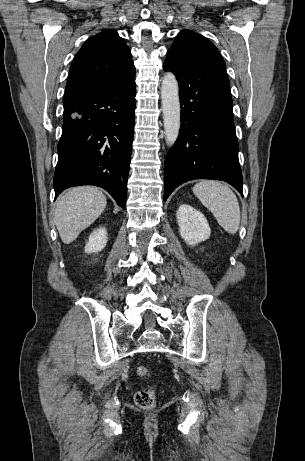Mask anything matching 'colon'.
<instances>
[{
    "mask_svg": "<svg viewBox=\"0 0 305 461\" xmlns=\"http://www.w3.org/2000/svg\"><path fill=\"white\" fill-rule=\"evenodd\" d=\"M136 373L141 378H147L150 376V371L145 366H138ZM135 404L144 410H151L156 405V389L149 388L146 390L138 391L134 397Z\"/></svg>",
    "mask_w": 305,
    "mask_h": 461,
    "instance_id": "5ec220e1",
    "label": "colon"
}]
</instances>
